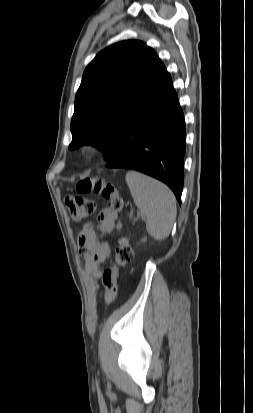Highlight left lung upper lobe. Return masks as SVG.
<instances>
[{"label": "left lung upper lobe", "instance_id": "5c2ea615", "mask_svg": "<svg viewBox=\"0 0 253 413\" xmlns=\"http://www.w3.org/2000/svg\"><path fill=\"white\" fill-rule=\"evenodd\" d=\"M166 73L156 52L141 41H122L97 54L75 97L69 148L91 144L107 163L112 161L126 122L141 111Z\"/></svg>", "mask_w": 253, "mask_h": 413}]
</instances>
